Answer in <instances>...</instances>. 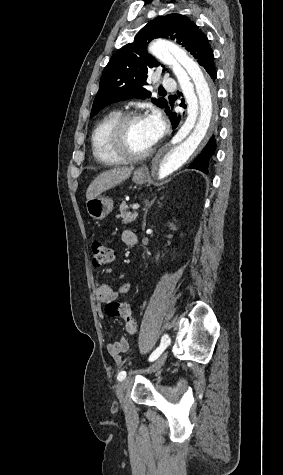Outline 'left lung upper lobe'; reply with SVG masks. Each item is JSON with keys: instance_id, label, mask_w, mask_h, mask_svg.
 <instances>
[{"instance_id": "5c2ea615", "label": "left lung upper lobe", "mask_w": 283, "mask_h": 475, "mask_svg": "<svg viewBox=\"0 0 283 475\" xmlns=\"http://www.w3.org/2000/svg\"><path fill=\"white\" fill-rule=\"evenodd\" d=\"M157 37L176 39L200 65L212 53L206 35L187 17L169 14L151 20L137 33L134 42L117 51L104 68L91 118L109 103L129 98H150L151 93L143 85L147 84L148 71L160 63L147 53L146 45ZM151 101L161 108L168 105L164 98H152Z\"/></svg>"}]
</instances>
